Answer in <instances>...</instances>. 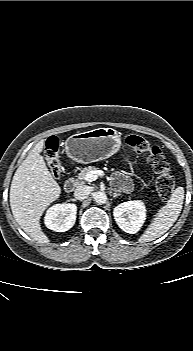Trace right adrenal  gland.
<instances>
[{
  "label": "right adrenal gland",
  "instance_id": "obj_1",
  "mask_svg": "<svg viewBox=\"0 0 193 351\" xmlns=\"http://www.w3.org/2000/svg\"><path fill=\"white\" fill-rule=\"evenodd\" d=\"M70 201L76 202V201H77V199L72 198V199H70Z\"/></svg>",
  "mask_w": 193,
  "mask_h": 351
}]
</instances>
